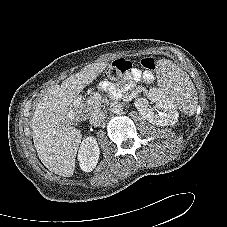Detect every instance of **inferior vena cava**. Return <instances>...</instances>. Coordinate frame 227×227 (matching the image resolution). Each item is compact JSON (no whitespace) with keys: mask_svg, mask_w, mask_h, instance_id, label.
Listing matches in <instances>:
<instances>
[{"mask_svg":"<svg viewBox=\"0 0 227 227\" xmlns=\"http://www.w3.org/2000/svg\"><path fill=\"white\" fill-rule=\"evenodd\" d=\"M105 113L101 110H95L91 113L89 117V122L92 126L98 127L105 121Z\"/></svg>","mask_w":227,"mask_h":227,"instance_id":"1","label":"inferior vena cava"}]
</instances>
